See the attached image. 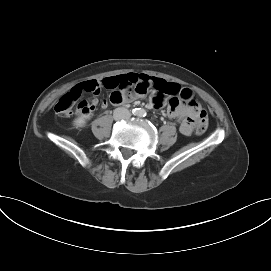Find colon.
<instances>
[{
    "instance_id": "obj_1",
    "label": "colon",
    "mask_w": 271,
    "mask_h": 271,
    "mask_svg": "<svg viewBox=\"0 0 271 271\" xmlns=\"http://www.w3.org/2000/svg\"><path fill=\"white\" fill-rule=\"evenodd\" d=\"M82 91H87V92H92L95 93V87L91 84L87 86V90H83L80 87H75L73 88L70 92L64 94L56 103L54 110L57 114L59 115H64L68 116L71 115L74 112V107L77 104ZM182 99L185 101H188L190 103H195L194 98L183 94L181 95ZM162 99V98H161ZM85 104L84 102H81L78 104L77 109L79 108L80 105ZM195 128H196V133L197 134H203L208 126V118L206 112L201 109L200 111L197 112L195 118Z\"/></svg>"
}]
</instances>
